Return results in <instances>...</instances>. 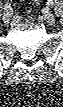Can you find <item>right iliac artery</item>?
Here are the masks:
<instances>
[{
	"instance_id": "1",
	"label": "right iliac artery",
	"mask_w": 63,
	"mask_h": 107,
	"mask_svg": "<svg viewBox=\"0 0 63 107\" xmlns=\"http://www.w3.org/2000/svg\"><path fill=\"white\" fill-rule=\"evenodd\" d=\"M3 15H8L11 16L12 15V8L10 6V4H6L4 7V14Z\"/></svg>"
}]
</instances>
